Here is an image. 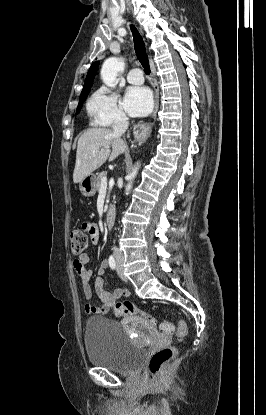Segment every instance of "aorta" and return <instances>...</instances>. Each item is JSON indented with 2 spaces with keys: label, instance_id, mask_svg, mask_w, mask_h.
<instances>
[{
  "label": "aorta",
  "instance_id": "1",
  "mask_svg": "<svg viewBox=\"0 0 266 415\" xmlns=\"http://www.w3.org/2000/svg\"><path fill=\"white\" fill-rule=\"evenodd\" d=\"M123 68H124V63L120 59L116 57H110L106 59L101 69L102 81L108 87H115L118 72L123 70ZM137 172H138V166H135L132 172L128 175V184L126 186L127 194L132 188V181L136 177Z\"/></svg>",
  "mask_w": 266,
  "mask_h": 415
}]
</instances>
